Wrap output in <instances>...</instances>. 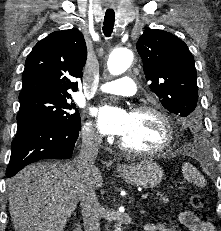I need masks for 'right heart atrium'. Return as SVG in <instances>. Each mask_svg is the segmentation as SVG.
I'll use <instances>...</instances> for the list:
<instances>
[{
    "instance_id": "obj_1",
    "label": "right heart atrium",
    "mask_w": 221,
    "mask_h": 231,
    "mask_svg": "<svg viewBox=\"0 0 221 231\" xmlns=\"http://www.w3.org/2000/svg\"><path fill=\"white\" fill-rule=\"evenodd\" d=\"M82 136L85 141L97 144L100 141V135L91 123H86L82 128Z\"/></svg>"
}]
</instances>
